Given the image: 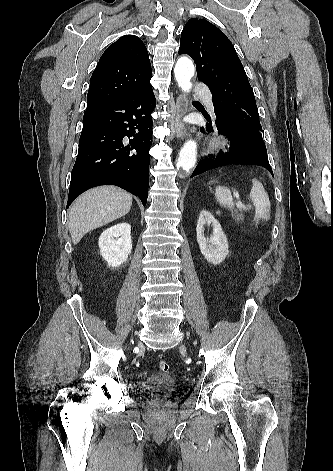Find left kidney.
<instances>
[{
    "mask_svg": "<svg viewBox=\"0 0 333 471\" xmlns=\"http://www.w3.org/2000/svg\"><path fill=\"white\" fill-rule=\"evenodd\" d=\"M205 224L213 226V235L209 239L204 236ZM196 233L200 251L204 258L214 265L223 262L229 254L227 238L220 223L210 212L206 210L200 212Z\"/></svg>",
    "mask_w": 333,
    "mask_h": 471,
    "instance_id": "obj_1",
    "label": "left kidney"
}]
</instances>
